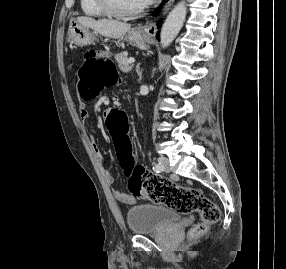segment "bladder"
<instances>
[{
  "instance_id": "bladder-1",
  "label": "bladder",
  "mask_w": 286,
  "mask_h": 269,
  "mask_svg": "<svg viewBox=\"0 0 286 269\" xmlns=\"http://www.w3.org/2000/svg\"><path fill=\"white\" fill-rule=\"evenodd\" d=\"M127 224L135 235L167 229L180 220V215L159 205H137L127 210Z\"/></svg>"
}]
</instances>
